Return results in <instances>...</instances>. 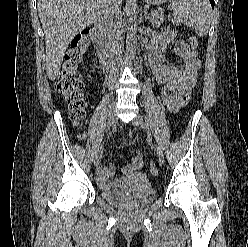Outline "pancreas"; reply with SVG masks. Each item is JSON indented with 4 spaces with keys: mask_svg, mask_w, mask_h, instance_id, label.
I'll use <instances>...</instances> for the list:
<instances>
[{
    "mask_svg": "<svg viewBox=\"0 0 248 247\" xmlns=\"http://www.w3.org/2000/svg\"><path fill=\"white\" fill-rule=\"evenodd\" d=\"M153 17H155V20H154V18H153V21L156 22V23H160V22L163 20V18L160 17V16L158 15V13H155V14L153 15Z\"/></svg>",
    "mask_w": 248,
    "mask_h": 247,
    "instance_id": "cf45deb5",
    "label": "pancreas"
}]
</instances>
